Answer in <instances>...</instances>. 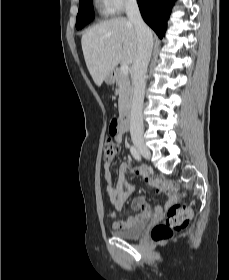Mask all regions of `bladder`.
<instances>
[{
	"mask_svg": "<svg viewBox=\"0 0 229 280\" xmlns=\"http://www.w3.org/2000/svg\"><path fill=\"white\" fill-rule=\"evenodd\" d=\"M147 222L142 219L137 221L132 227L113 231L112 234L122 239H136L143 235Z\"/></svg>",
	"mask_w": 229,
	"mask_h": 280,
	"instance_id": "obj_1",
	"label": "bladder"
}]
</instances>
